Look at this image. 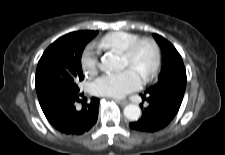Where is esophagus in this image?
<instances>
[{"label": "esophagus", "instance_id": "1", "mask_svg": "<svg viewBox=\"0 0 225 155\" xmlns=\"http://www.w3.org/2000/svg\"><path fill=\"white\" fill-rule=\"evenodd\" d=\"M117 102L122 105V106H125L128 104V101L127 100H117Z\"/></svg>", "mask_w": 225, "mask_h": 155}]
</instances>
